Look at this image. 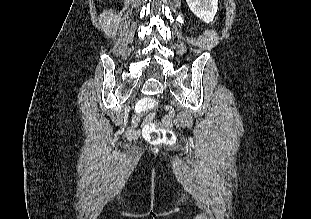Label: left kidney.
Returning a JSON list of instances; mask_svg holds the SVG:
<instances>
[{"instance_id":"left-kidney-1","label":"left kidney","mask_w":311,"mask_h":219,"mask_svg":"<svg viewBox=\"0 0 311 219\" xmlns=\"http://www.w3.org/2000/svg\"><path fill=\"white\" fill-rule=\"evenodd\" d=\"M190 10L202 21H213L218 9V0H186Z\"/></svg>"}]
</instances>
